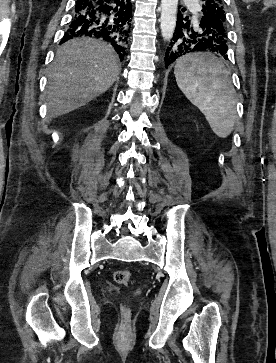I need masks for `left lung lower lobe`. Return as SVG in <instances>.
<instances>
[{
	"label": "left lung lower lobe",
	"mask_w": 276,
	"mask_h": 363,
	"mask_svg": "<svg viewBox=\"0 0 276 363\" xmlns=\"http://www.w3.org/2000/svg\"><path fill=\"white\" fill-rule=\"evenodd\" d=\"M177 16L175 32L165 53V68L177 59L197 51L216 52L228 59L226 55L228 47L221 35V25L213 14L204 11L201 18L193 25L189 17H184L181 11Z\"/></svg>",
	"instance_id": "1"
}]
</instances>
